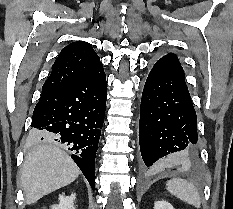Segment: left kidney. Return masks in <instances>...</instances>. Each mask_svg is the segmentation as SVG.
<instances>
[{
	"instance_id": "left-kidney-1",
	"label": "left kidney",
	"mask_w": 233,
	"mask_h": 209,
	"mask_svg": "<svg viewBox=\"0 0 233 209\" xmlns=\"http://www.w3.org/2000/svg\"><path fill=\"white\" fill-rule=\"evenodd\" d=\"M154 209H174L171 204L166 201H155Z\"/></svg>"
}]
</instances>
